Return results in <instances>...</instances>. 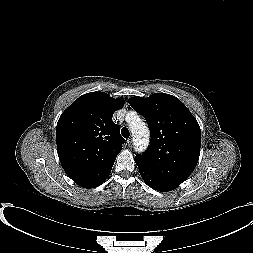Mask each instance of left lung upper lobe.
Returning <instances> with one entry per match:
<instances>
[{"label":"left lung upper lobe","instance_id":"left-lung-upper-lobe-1","mask_svg":"<svg viewBox=\"0 0 253 253\" xmlns=\"http://www.w3.org/2000/svg\"><path fill=\"white\" fill-rule=\"evenodd\" d=\"M131 107L147 121L151 142L135 162L148 172L180 185L193 172L200 154L201 131L197 120L175 96L155 93L132 97Z\"/></svg>","mask_w":253,"mask_h":253}]
</instances>
